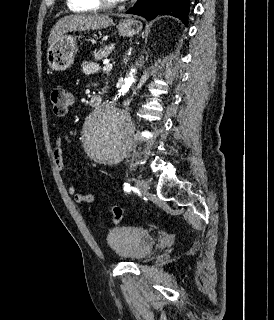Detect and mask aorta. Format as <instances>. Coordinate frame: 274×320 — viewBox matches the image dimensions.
<instances>
[{
  "mask_svg": "<svg viewBox=\"0 0 274 320\" xmlns=\"http://www.w3.org/2000/svg\"><path fill=\"white\" fill-rule=\"evenodd\" d=\"M132 69L114 97L94 110L82 130V144L87 155L99 163L122 160L132 145L133 124L122 108L123 101L134 82Z\"/></svg>",
  "mask_w": 274,
  "mask_h": 320,
  "instance_id": "1",
  "label": "aorta"
}]
</instances>
